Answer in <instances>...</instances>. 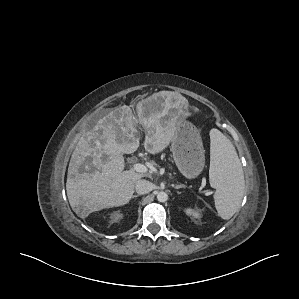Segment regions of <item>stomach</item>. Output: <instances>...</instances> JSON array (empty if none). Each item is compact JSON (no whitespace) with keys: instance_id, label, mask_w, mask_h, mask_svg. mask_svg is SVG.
Returning <instances> with one entry per match:
<instances>
[{"instance_id":"obj_1","label":"stomach","mask_w":299,"mask_h":299,"mask_svg":"<svg viewBox=\"0 0 299 299\" xmlns=\"http://www.w3.org/2000/svg\"><path fill=\"white\" fill-rule=\"evenodd\" d=\"M171 150L176 166L186 178H196L202 172L205 151L200 131L192 123L186 120L175 123Z\"/></svg>"}]
</instances>
